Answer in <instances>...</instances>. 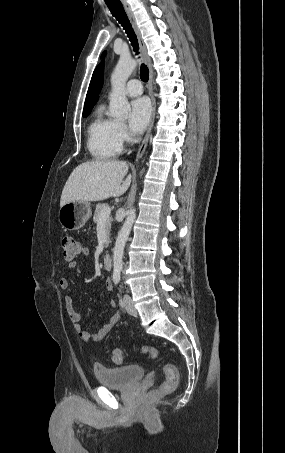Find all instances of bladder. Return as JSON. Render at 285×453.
<instances>
[{
	"instance_id": "31cf9c89",
	"label": "bladder",
	"mask_w": 285,
	"mask_h": 453,
	"mask_svg": "<svg viewBox=\"0 0 285 453\" xmlns=\"http://www.w3.org/2000/svg\"><path fill=\"white\" fill-rule=\"evenodd\" d=\"M92 372L100 385L120 389L129 388L145 375V369L137 364L122 367H106L95 363L92 367Z\"/></svg>"
}]
</instances>
